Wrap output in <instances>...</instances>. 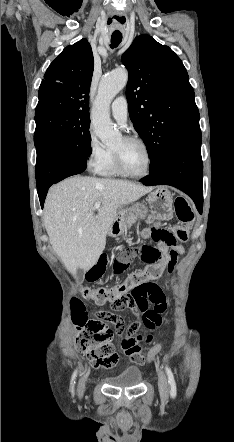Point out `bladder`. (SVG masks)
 Wrapping results in <instances>:
<instances>
[{
    "mask_svg": "<svg viewBox=\"0 0 234 442\" xmlns=\"http://www.w3.org/2000/svg\"><path fill=\"white\" fill-rule=\"evenodd\" d=\"M142 380V372L137 366H128L120 374L109 377L106 382L115 387H133Z\"/></svg>",
    "mask_w": 234,
    "mask_h": 442,
    "instance_id": "1",
    "label": "bladder"
}]
</instances>
